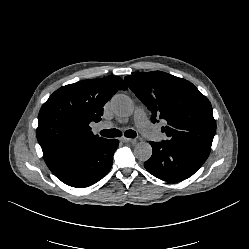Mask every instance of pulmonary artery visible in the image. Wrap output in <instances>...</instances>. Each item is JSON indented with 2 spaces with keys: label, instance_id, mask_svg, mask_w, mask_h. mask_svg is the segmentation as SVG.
<instances>
[{
  "label": "pulmonary artery",
  "instance_id": "obj_1",
  "mask_svg": "<svg viewBox=\"0 0 249 249\" xmlns=\"http://www.w3.org/2000/svg\"><path fill=\"white\" fill-rule=\"evenodd\" d=\"M133 118H134L135 125L138 129H142L145 126V124L148 123L146 112L141 107L136 108ZM112 127H113V123L111 122H100L97 124L98 131H101L104 129H110Z\"/></svg>",
  "mask_w": 249,
  "mask_h": 249
}]
</instances>
